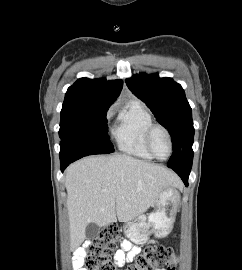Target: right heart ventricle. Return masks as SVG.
Instances as JSON below:
<instances>
[{"instance_id":"right-heart-ventricle-1","label":"right heart ventricle","mask_w":242,"mask_h":270,"mask_svg":"<svg viewBox=\"0 0 242 270\" xmlns=\"http://www.w3.org/2000/svg\"><path fill=\"white\" fill-rule=\"evenodd\" d=\"M154 123L151 113L139 101L130 102L118 114L112 129L115 142L124 153L146 160L153 156L145 144L148 128Z\"/></svg>"}]
</instances>
